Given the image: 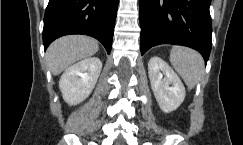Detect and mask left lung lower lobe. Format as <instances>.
<instances>
[{"label": "left lung lower lobe", "mask_w": 243, "mask_h": 145, "mask_svg": "<svg viewBox=\"0 0 243 145\" xmlns=\"http://www.w3.org/2000/svg\"><path fill=\"white\" fill-rule=\"evenodd\" d=\"M211 0H140L141 55L159 44L191 47L205 62L211 51Z\"/></svg>", "instance_id": "left-lung-lower-lobe-1"}]
</instances>
